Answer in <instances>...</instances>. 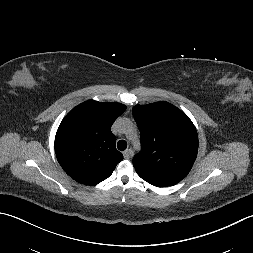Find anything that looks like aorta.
I'll use <instances>...</instances> for the list:
<instances>
[{"instance_id":"762f6f07","label":"aorta","mask_w":253,"mask_h":253,"mask_svg":"<svg viewBox=\"0 0 253 253\" xmlns=\"http://www.w3.org/2000/svg\"><path fill=\"white\" fill-rule=\"evenodd\" d=\"M123 126H124L126 129H128V128H130L131 124H130L129 121H124V122H123Z\"/></svg>"}]
</instances>
